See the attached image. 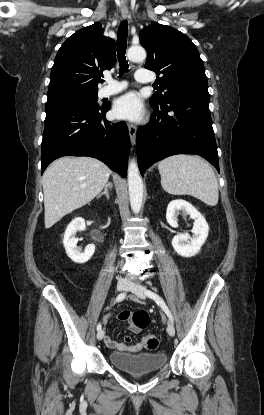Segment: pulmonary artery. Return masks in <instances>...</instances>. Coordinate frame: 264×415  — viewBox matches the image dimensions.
<instances>
[{"label": "pulmonary artery", "instance_id": "pulmonary-artery-1", "mask_svg": "<svg viewBox=\"0 0 264 415\" xmlns=\"http://www.w3.org/2000/svg\"><path fill=\"white\" fill-rule=\"evenodd\" d=\"M135 79L137 82L148 84L152 81V76L147 73L138 71L135 74ZM106 82L108 85L101 89L100 91L101 96H109V95L116 94L127 87L126 81L120 82V81L115 80L112 77H107Z\"/></svg>", "mask_w": 264, "mask_h": 415}]
</instances>
